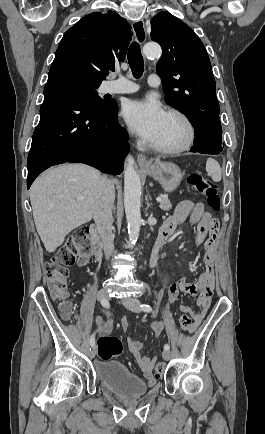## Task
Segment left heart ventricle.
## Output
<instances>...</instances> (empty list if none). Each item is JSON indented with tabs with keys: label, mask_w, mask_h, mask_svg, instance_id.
<instances>
[{
	"label": "left heart ventricle",
	"mask_w": 265,
	"mask_h": 434,
	"mask_svg": "<svg viewBox=\"0 0 265 434\" xmlns=\"http://www.w3.org/2000/svg\"><path fill=\"white\" fill-rule=\"evenodd\" d=\"M184 136L183 125L179 120L166 116L164 125L152 144L157 147L170 148L178 145Z\"/></svg>",
	"instance_id": "b2bd125f"
}]
</instances>
